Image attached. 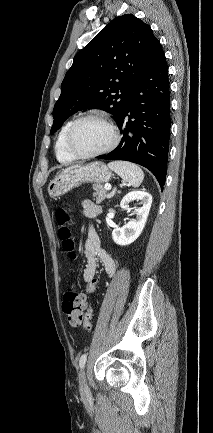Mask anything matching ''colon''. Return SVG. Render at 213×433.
<instances>
[{"label": "colon", "mask_w": 213, "mask_h": 433, "mask_svg": "<svg viewBox=\"0 0 213 433\" xmlns=\"http://www.w3.org/2000/svg\"><path fill=\"white\" fill-rule=\"evenodd\" d=\"M55 215L59 225L58 235L62 242V246L64 250L69 253L71 259L75 260L77 256L74 251L75 242L73 239V232L69 226V208H58ZM62 309L71 326H83L85 329L91 328L87 317L86 296L83 292L73 286L68 287L63 295Z\"/></svg>", "instance_id": "colon-1"}]
</instances>
